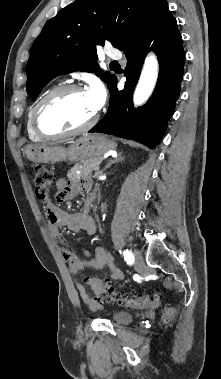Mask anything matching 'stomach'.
Instances as JSON below:
<instances>
[{
	"label": "stomach",
	"mask_w": 221,
	"mask_h": 379,
	"mask_svg": "<svg viewBox=\"0 0 221 379\" xmlns=\"http://www.w3.org/2000/svg\"><path fill=\"white\" fill-rule=\"evenodd\" d=\"M117 144L100 134L84 135L68 147L54 145H29L25 148L27 158L35 163H59L100 159L103 154L114 150Z\"/></svg>",
	"instance_id": "1"
}]
</instances>
